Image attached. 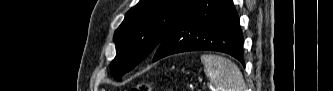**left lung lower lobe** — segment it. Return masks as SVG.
Instances as JSON below:
<instances>
[{
  "mask_svg": "<svg viewBox=\"0 0 333 91\" xmlns=\"http://www.w3.org/2000/svg\"><path fill=\"white\" fill-rule=\"evenodd\" d=\"M243 36L232 0H198L155 50L153 61L187 51H219L244 65Z\"/></svg>",
  "mask_w": 333,
  "mask_h": 91,
  "instance_id": "0a47b994",
  "label": "left lung lower lobe"
}]
</instances>
